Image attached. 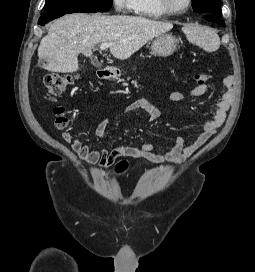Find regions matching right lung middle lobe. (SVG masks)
<instances>
[{
  "instance_id": "1",
  "label": "right lung middle lobe",
  "mask_w": 255,
  "mask_h": 272,
  "mask_svg": "<svg viewBox=\"0 0 255 272\" xmlns=\"http://www.w3.org/2000/svg\"><path fill=\"white\" fill-rule=\"evenodd\" d=\"M113 0H47L44 15L68 14L75 12H106Z\"/></svg>"
}]
</instances>
